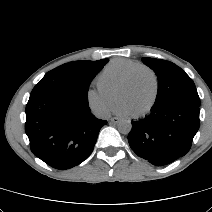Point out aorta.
I'll list each match as a JSON object with an SVG mask.
<instances>
[{"mask_svg":"<svg viewBox=\"0 0 212 212\" xmlns=\"http://www.w3.org/2000/svg\"><path fill=\"white\" fill-rule=\"evenodd\" d=\"M132 124L129 120H123L118 124V130L122 134H128L131 131Z\"/></svg>","mask_w":212,"mask_h":212,"instance_id":"obj_1","label":"aorta"}]
</instances>
